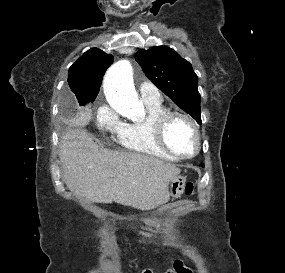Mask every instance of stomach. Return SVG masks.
Listing matches in <instances>:
<instances>
[{
	"label": "stomach",
	"mask_w": 285,
	"mask_h": 273,
	"mask_svg": "<svg viewBox=\"0 0 285 273\" xmlns=\"http://www.w3.org/2000/svg\"><path fill=\"white\" fill-rule=\"evenodd\" d=\"M185 185V177L177 175L172 178L170 183V196L172 198H178L182 192Z\"/></svg>",
	"instance_id": "1"
}]
</instances>
